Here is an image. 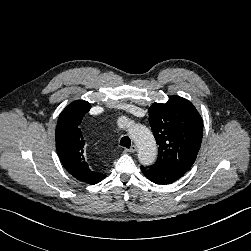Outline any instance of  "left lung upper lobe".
<instances>
[{
  "label": "left lung upper lobe",
  "instance_id": "1",
  "mask_svg": "<svg viewBox=\"0 0 251 251\" xmlns=\"http://www.w3.org/2000/svg\"><path fill=\"white\" fill-rule=\"evenodd\" d=\"M149 122L159 145L153 166L185 174L196 160L203 136V121L194 105L173 95L165 104L151 105Z\"/></svg>",
  "mask_w": 251,
  "mask_h": 251
}]
</instances>
